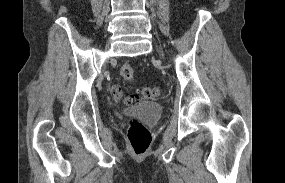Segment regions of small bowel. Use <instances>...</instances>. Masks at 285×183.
Listing matches in <instances>:
<instances>
[{
  "label": "small bowel",
  "mask_w": 285,
  "mask_h": 183,
  "mask_svg": "<svg viewBox=\"0 0 285 183\" xmlns=\"http://www.w3.org/2000/svg\"><path fill=\"white\" fill-rule=\"evenodd\" d=\"M121 95H122V91H121L120 86H118V85L112 86L111 96L113 97V99L119 100L121 98Z\"/></svg>",
  "instance_id": "c3829d8e"
}]
</instances>
